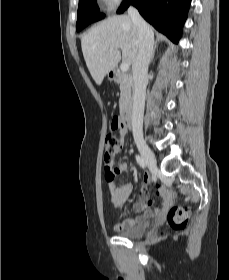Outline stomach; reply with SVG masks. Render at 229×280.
I'll return each mask as SVG.
<instances>
[{
  "mask_svg": "<svg viewBox=\"0 0 229 280\" xmlns=\"http://www.w3.org/2000/svg\"><path fill=\"white\" fill-rule=\"evenodd\" d=\"M108 79H109V80H113V77H112V76H108Z\"/></svg>",
  "mask_w": 229,
  "mask_h": 280,
  "instance_id": "obj_1",
  "label": "stomach"
}]
</instances>
